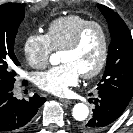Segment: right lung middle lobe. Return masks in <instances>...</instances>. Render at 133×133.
Listing matches in <instances>:
<instances>
[{
	"label": "right lung middle lobe",
	"instance_id": "obj_1",
	"mask_svg": "<svg viewBox=\"0 0 133 133\" xmlns=\"http://www.w3.org/2000/svg\"><path fill=\"white\" fill-rule=\"evenodd\" d=\"M25 4L6 3L0 5V92L13 89L16 68L20 66L14 43L18 27L24 19Z\"/></svg>",
	"mask_w": 133,
	"mask_h": 133
}]
</instances>
